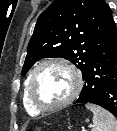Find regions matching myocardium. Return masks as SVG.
I'll return each mask as SVG.
<instances>
[{
	"label": "myocardium",
	"mask_w": 117,
	"mask_h": 131,
	"mask_svg": "<svg viewBox=\"0 0 117 131\" xmlns=\"http://www.w3.org/2000/svg\"><path fill=\"white\" fill-rule=\"evenodd\" d=\"M50 65H60V66L65 67L68 71H70L74 78V87L71 94L65 100H63L62 102L58 104L47 106V105H43L36 99L34 95L33 87H34V82L39 71L43 69L44 67L50 66ZM82 86H83L82 74L75 65L63 59H49V60H45L41 62L34 68L28 80L27 91H28V97L30 99V102L38 111L52 112V111L62 109L65 106L72 103L79 95L82 89Z\"/></svg>",
	"instance_id": "1"
}]
</instances>
